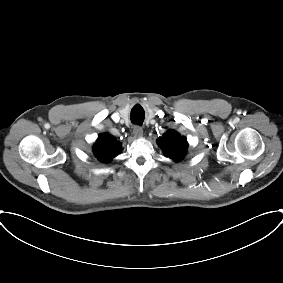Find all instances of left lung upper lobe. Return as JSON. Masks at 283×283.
Segmentation results:
<instances>
[{"mask_svg": "<svg viewBox=\"0 0 283 283\" xmlns=\"http://www.w3.org/2000/svg\"><path fill=\"white\" fill-rule=\"evenodd\" d=\"M157 143L166 156L175 161H180L183 158L188 146L186 138L174 130L166 132L163 137L158 139Z\"/></svg>", "mask_w": 283, "mask_h": 283, "instance_id": "left-lung-upper-lobe-1", "label": "left lung upper lobe"}]
</instances>
